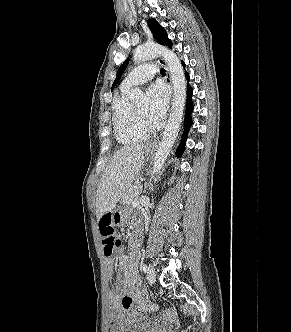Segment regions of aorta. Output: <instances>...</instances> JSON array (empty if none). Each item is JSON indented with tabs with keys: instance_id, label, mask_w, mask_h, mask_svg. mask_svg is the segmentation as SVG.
<instances>
[{
	"instance_id": "1",
	"label": "aorta",
	"mask_w": 291,
	"mask_h": 332,
	"mask_svg": "<svg viewBox=\"0 0 291 332\" xmlns=\"http://www.w3.org/2000/svg\"><path fill=\"white\" fill-rule=\"evenodd\" d=\"M158 56L163 57L171 73L174 98L172 110L163 134L162 140L156 152L152 175H157L162 169L167 156L179 133L186 99V80L183 67L177 55L166 47L158 44H144L137 47L133 54L134 61H146ZM146 95L139 88L132 90L130 100L133 103L146 101Z\"/></svg>"
}]
</instances>
